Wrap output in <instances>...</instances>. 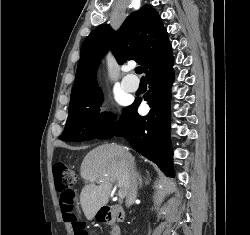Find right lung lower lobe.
I'll return each instance as SVG.
<instances>
[{
	"label": "right lung lower lobe",
	"instance_id": "1",
	"mask_svg": "<svg viewBox=\"0 0 250 235\" xmlns=\"http://www.w3.org/2000/svg\"><path fill=\"white\" fill-rule=\"evenodd\" d=\"M172 48L164 52L146 69L149 90L144 100L150 106L146 116L137 113L141 99L126 107L119 119L98 138L125 137L132 148L156 163L168 176H174L170 145V90L174 79Z\"/></svg>",
	"mask_w": 250,
	"mask_h": 235
}]
</instances>
